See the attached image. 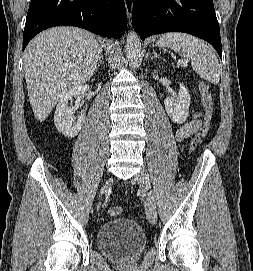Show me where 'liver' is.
<instances>
[{
    "label": "liver",
    "instance_id": "obj_1",
    "mask_svg": "<svg viewBox=\"0 0 253 271\" xmlns=\"http://www.w3.org/2000/svg\"><path fill=\"white\" fill-rule=\"evenodd\" d=\"M102 47L94 35L76 27H54L38 34L24 52L29 102L43 122L72 88L94 74Z\"/></svg>",
    "mask_w": 253,
    "mask_h": 271
}]
</instances>
